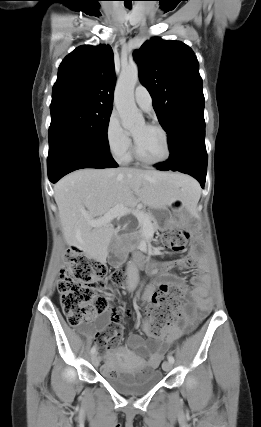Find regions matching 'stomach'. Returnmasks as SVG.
<instances>
[{"instance_id":"stomach-1","label":"stomach","mask_w":261,"mask_h":427,"mask_svg":"<svg viewBox=\"0 0 261 427\" xmlns=\"http://www.w3.org/2000/svg\"><path fill=\"white\" fill-rule=\"evenodd\" d=\"M170 207L172 210L179 211L184 207V203L181 200H175ZM159 211H154V217H158ZM155 220V218H153Z\"/></svg>"}]
</instances>
